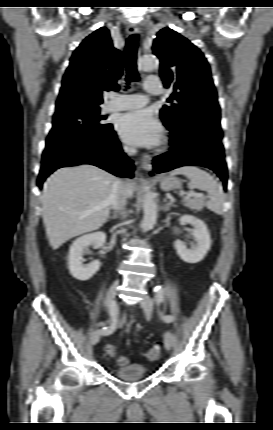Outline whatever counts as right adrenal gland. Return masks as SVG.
<instances>
[{
  "instance_id": "1",
  "label": "right adrenal gland",
  "mask_w": 273,
  "mask_h": 430,
  "mask_svg": "<svg viewBox=\"0 0 273 430\" xmlns=\"http://www.w3.org/2000/svg\"><path fill=\"white\" fill-rule=\"evenodd\" d=\"M118 218V214L114 213L113 216H108V219H117Z\"/></svg>"
}]
</instances>
